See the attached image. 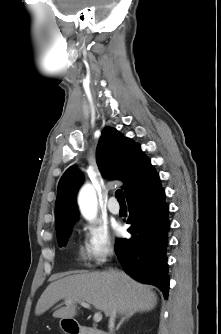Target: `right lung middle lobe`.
I'll use <instances>...</instances> for the list:
<instances>
[{
	"instance_id": "dd1d6c3e",
	"label": "right lung middle lobe",
	"mask_w": 221,
	"mask_h": 334,
	"mask_svg": "<svg viewBox=\"0 0 221 334\" xmlns=\"http://www.w3.org/2000/svg\"><path fill=\"white\" fill-rule=\"evenodd\" d=\"M71 227H72V225L62 229L59 232H57V239H58V243H59L60 246H63L67 243L68 238L70 236Z\"/></svg>"
}]
</instances>
